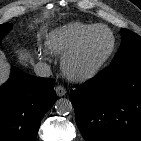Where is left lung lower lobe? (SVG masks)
Instances as JSON below:
<instances>
[{"label":"left lung lower lobe","mask_w":141,"mask_h":141,"mask_svg":"<svg viewBox=\"0 0 141 141\" xmlns=\"http://www.w3.org/2000/svg\"><path fill=\"white\" fill-rule=\"evenodd\" d=\"M70 100L86 141H141V58L110 65Z\"/></svg>","instance_id":"left-lung-lower-lobe-1"}]
</instances>
